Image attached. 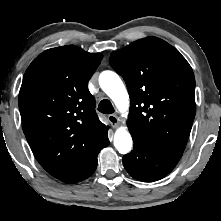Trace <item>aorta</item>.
Here are the masks:
<instances>
[{
  "mask_svg": "<svg viewBox=\"0 0 221 221\" xmlns=\"http://www.w3.org/2000/svg\"><path fill=\"white\" fill-rule=\"evenodd\" d=\"M102 90L112 99L119 111L125 112L129 108V95L120 79L113 71H103L99 76ZM132 137L125 127H120L114 135V146L121 154H127L132 149Z\"/></svg>",
  "mask_w": 221,
  "mask_h": 221,
  "instance_id": "aorta-1",
  "label": "aorta"
}]
</instances>
